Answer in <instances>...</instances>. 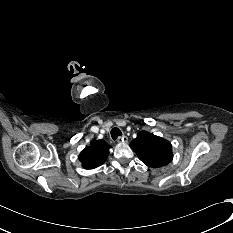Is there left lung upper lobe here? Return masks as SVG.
Masks as SVG:
<instances>
[{
    "label": "left lung upper lobe",
    "instance_id": "1",
    "mask_svg": "<svg viewBox=\"0 0 233 233\" xmlns=\"http://www.w3.org/2000/svg\"><path fill=\"white\" fill-rule=\"evenodd\" d=\"M130 147L148 167H162L173 159L170 142L147 131H140Z\"/></svg>",
    "mask_w": 233,
    "mask_h": 233
}]
</instances>
